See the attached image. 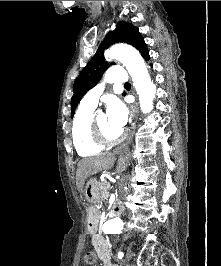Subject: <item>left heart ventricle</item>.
<instances>
[{
  "label": "left heart ventricle",
  "mask_w": 221,
  "mask_h": 266,
  "mask_svg": "<svg viewBox=\"0 0 221 266\" xmlns=\"http://www.w3.org/2000/svg\"><path fill=\"white\" fill-rule=\"evenodd\" d=\"M97 121L104 134L109 138H115L121 132L110 124L104 113L97 114Z\"/></svg>",
  "instance_id": "b2bd125f"
}]
</instances>
